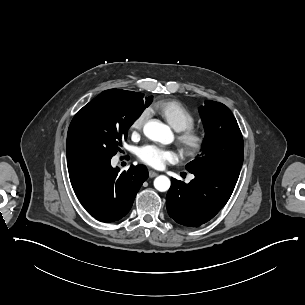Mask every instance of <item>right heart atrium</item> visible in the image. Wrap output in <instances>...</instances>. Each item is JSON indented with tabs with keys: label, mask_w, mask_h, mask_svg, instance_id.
<instances>
[{
	"label": "right heart atrium",
	"mask_w": 305,
	"mask_h": 305,
	"mask_svg": "<svg viewBox=\"0 0 305 305\" xmlns=\"http://www.w3.org/2000/svg\"><path fill=\"white\" fill-rule=\"evenodd\" d=\"M147 116H148V111L143 110L132 120L129 128L132 134H136L142 129L143 123L147 118Z\"/></svg>",
	"instance_id": "right-heart-atrium-1"
}]
</instances>
